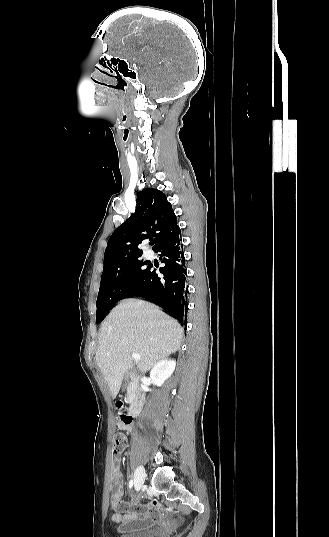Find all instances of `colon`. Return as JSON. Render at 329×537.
Segmentation results:
<instances>
[{
	"label": "colon",
	"instance_id": "5ec220e1",
	"mask_svg": "<svg viewBox=\"0 0 329 537\" xmlns=\"http://www.w3.org/2000/svg\"><path fill=\"white\" fill-rule=\"evenodd\" d=\"M119 419L124 424L131 423V417L125 412V410H121L119 412ZM128 438L127 435L123 432H117L114 436L113 441V451L115 454L122 453L126 446H127Z\"/></svg>",
	"mask_w": 329,
	"mask_h": 537
}]
</instances>
